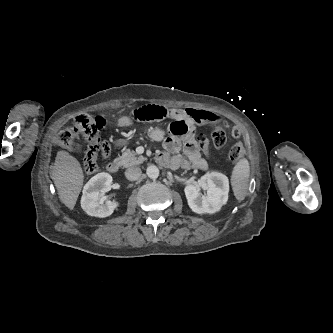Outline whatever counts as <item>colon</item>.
Returning <instances> with one entry per match:
<instances>
[{
	"label": "colon",
	"instance_id": "1",
	"mask_svg": "<svg viewBox=\"0 0 333 333\" xmlns=\"http://www.w3.org/2000/svg\"><path fill=\"white\" fill-rule=\"evenodd\" d=\"M173 116L178 121L171 127V132L179 136H190L195 133L192 124L183 120L181 111L168 110L159 105H141L137 109H129L126 112V119L129 122L148 123L151 121L162 120ZM105 120L101 117L93 118L87 114L79 115L75 118L72 127L62 130L57 137L60 146L67 150H73L76 140L83 136L88 142V147L84 156L83 165L88 174L98 171L97 156L100 152L107 157L110 154V145L107 140H101L100 134L105 127ZM235 131V130H234ZM236 132V131H235ZM198 146L208 154V139L203 134L195 136ZM227 135L222 126H217L211 133V144L219 148L225 144ZM243 155V148L239 144L233 145L229 150V159L232 163L238 162Z\"/></svg>",
	"mask_w": 333,
	"mask_h": 333
}]
</instances>
